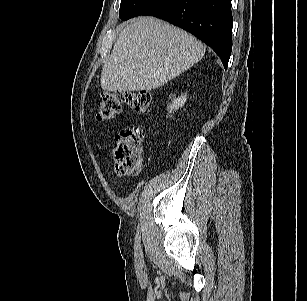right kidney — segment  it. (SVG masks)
<instances>
[{
	"mask_svg": "<svg viewBox=\"0 0 307 301\" xmlns=\"http://www.w3.org/2000/svg\"><path fill=\"white\" fill-rule=\"evenodd\" d=\"M186 100H187L186 94L181 95L178 98H174L172 103L170 105H168V107H167L169 114H171L174 110H177V109L183 107Z\"/></svg>",
	"mask_w": 307,
	"mask_h": 301,
	"instance_id": "ca27d5eb",
	"label": "right kidney"
}]
</instances>
